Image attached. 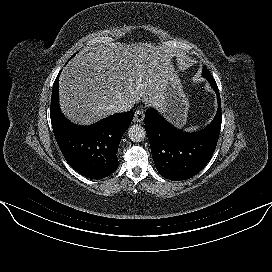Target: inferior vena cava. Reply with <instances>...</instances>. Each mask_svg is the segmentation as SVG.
<instances>
[{
  "instance_id": "inferior-vena-cava-1",
  "label": "inferior vena cava",
  "mask_w": 272,
  "mask_h": 272,
  "mask_svg": "<svg viewBox=\"0 0 272 272\" xmlns=\"http://www.w3.org/2000/svg\"><path fill=\"white\" fill-rule=\"evenodd\" d=\"M132 103L131 102H122L116 106H113V111L115 113L118 112H127L132 108Z\"/></svg>"
}]
</instances>
